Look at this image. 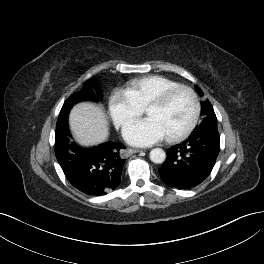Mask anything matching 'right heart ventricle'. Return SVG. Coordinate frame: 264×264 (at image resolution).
Instances as JSON below:
<instances>
[{"label": "right heart ventricle", "instance_id": "right-heart-ventricle-1", "mask_svg": "<svg viewBox=\"0 0 264 264\" xmlns=\"http://www.w3.org/2000/svg\"><path fill=\"white\" fill-rule=\"evenodd\" d=\"M180 85L177 81L162 75H147L132 80L126 92L132 100L144 109L164 91Z\"/></svg>", "mask_w": 264, "mask_h": 264}]
</instances>
